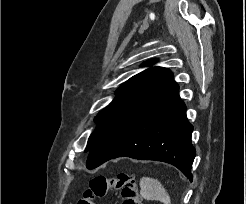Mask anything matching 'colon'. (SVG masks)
Here are the masks:
<instances>
[{
  "instance_id": "obj_1",
  "label": "colon",
  "mask_w": 246,
  "mask_h": 204,
  "mask_svg": "<svg viewBox=\"0 0 246 204\" xmlns=\"http://www.w3.org/2000/svg\"><path fill=\"white\" fill-rule=\"evenodd\" d=\"M110 190L120 194L122 204H141L137 182L128 174H120L112 178L97 176L91 179L77 204H95L96 198L104 197Z\"/></svg>"
}]
</instances>
